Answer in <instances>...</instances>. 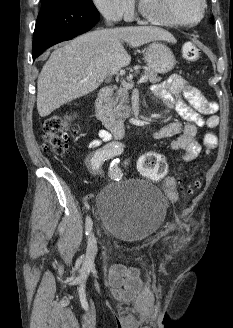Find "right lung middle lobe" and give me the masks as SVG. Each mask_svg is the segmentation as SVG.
I'll use <instances>...</instances> for the list:
<instances>
[{
    "mask_svg": "<svg viewBox=\"0 0 233 328\" xmlns=\"http://www.w3.org/2000/svg\"><path fill=\"white\" fill-rule=\"evenodd\" d=\"M42 2H56V3L95 7L91 0H42Z\"/></svg>",
    "mask_w": 233,
    "mask_h": 328,
    "instance_id": "dd1d6c3e",
    "label": "right lung middle lobe"
}]
</instances>
